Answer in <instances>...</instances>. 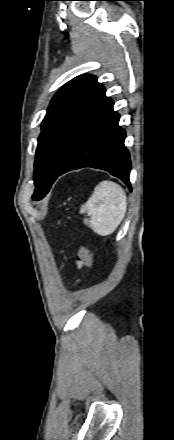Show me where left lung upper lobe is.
I'll return each mask as SVG.
<instances>
[{"mask_svg":"<svg viewBox=\"0 0 174 440\" xmlns=\"http://www.w3.org/2000/svg\"><path fill=\"white\" fill-rule=\"evenodd\" d=\"M105 98L104 87L87 74L72 79L55 94L38 139L34 200L48 193L87 120Z\"/></svg>","mask_w":174,"mask_h":440,"instance_id":"left-lung-upper-lobe-1","label":"left lung upper lobe"}]
</instances>
